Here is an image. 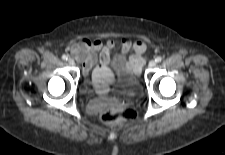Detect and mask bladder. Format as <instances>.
<instances>
[{"instance_id": "obj_1", "label": "bladder", "mask_w": 225, "mask_h": 155, "mask_svg": "<svg viewBox=\"0 0 225 155\" xmlns=\"http://www.w3.org/2000/svg\"><path fill=\"white\" fill-rule=\"evenodd\" d=\"M111 66L121 80H130L132 71L126 65V59L123 55H115L111 60ZM133 90L137 93L141 91V84L138 79L133 80Z\"/></svg>"}]
</instances>
